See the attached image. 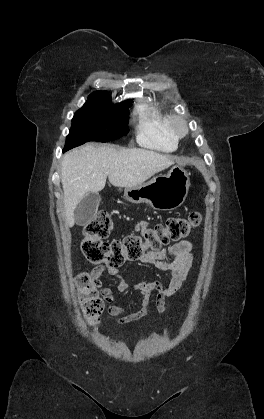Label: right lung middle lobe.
I'll use <instances>...</instances> for the list:
<instances>
[{"instance_id": "obj_1", "label": "right lung middle lobe", "mask_w": 264, "mask_h": 419, "mask_svg": "<svg viewBox=\"0 0 264 419\" xmlns=\"http://www.w3.org/2000/svg\"><path fill=\"white\" fill-rule=\"evenodd\" d=\"M130 100L114 105L107 96H89L72 119L63 152L88 141L108 142L128 132Z\"/></svg>"}]
</instances>
